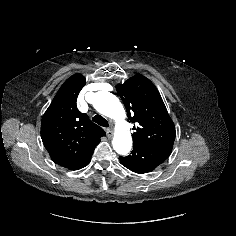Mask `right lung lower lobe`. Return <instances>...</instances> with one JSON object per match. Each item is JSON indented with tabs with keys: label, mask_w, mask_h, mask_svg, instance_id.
I'll use <instances>...</instances> for the list:
<instances>
[{
	"label": "right lung lower lobe",
	"mask_w": 236,
	"mask_h": 236,
	"mask_svg": "<svg viewBox=\"0 0 236 236\" xmlns=\"http://www.w3.org/2000/svg\"><path fill=\"white\" fill-rule=\"evenodd\" d=\"M93 152H94V150L89 151L88 153L83 155L81 158L69 163L68 165H66L64 167L69 170H78V169H81V168L87 166L91 161V157H92Z\"/></svg>",
	"instance_id": "obj_1"
}]
</instances>
